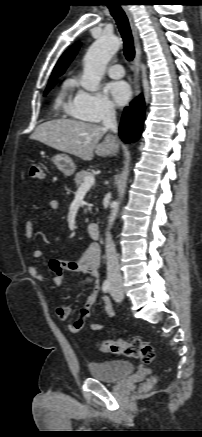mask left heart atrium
I'll return each instance as SVG.
<instances>
[{"mask_svg": "<svg viewBox=\"0 0 202 437\" xmlns=\"http://www.w3.org/2000/svg\"><path fill=\"white\" fill-rule=\"evenodd\" d=\"M106 89L118 105L126 104L131 98V88L125 81L111 82Z\"/></svg>", "mask_w": 202, "mask_h": 437, "instance_id": "1", "label": "left heart atrium"}]
</instances>
